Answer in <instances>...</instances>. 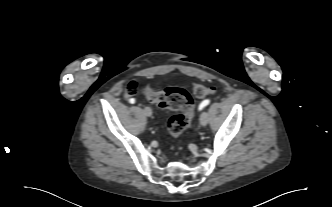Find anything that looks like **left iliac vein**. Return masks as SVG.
<instances>
[{
  "mask_svg": "<svg viewBox=\"0 0 332 207\" xmlns=\"http://www.w3.org/2000/svg\"><path fill=\"white\" fill-rule=\"evenodd\" d=\"M209 116L207 112H202L199 118V122L202 126H205L208 123Z\"/></svg>",
  "mask_w": 332,
  "mask_h": 207,
  "instance_id": "1",
  "label": "left iliac vein"
}]
</instances>
